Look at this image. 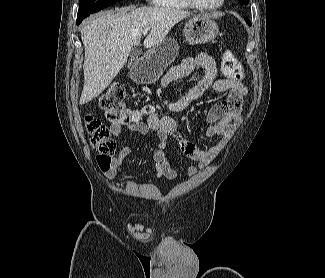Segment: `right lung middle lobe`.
Listing matches in <instances>:
<instances>
[{"label":"right lung middle lobe","mask_w":325,"mask_h":278,"mask_svg":"<svg viewBox=\"0 0 325 278\" xmlns=\"http://www.w3.org/2000/svg\"><path fill=\"white\" fill-rule=\"evenodd\" d=\"M117 1L118 0H80L78 17L89 16L90 14L97 12Z\"/></svg>","instance_id":"1"}]
</instances>
